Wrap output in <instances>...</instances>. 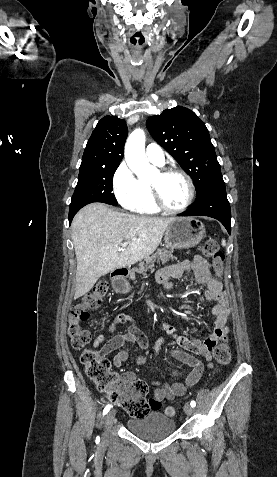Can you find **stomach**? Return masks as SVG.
<instances>
[{
  "mask_svg": "<svg viewBox=\"0 0 277 477\" xmlns=\"http://www.w3.org/2000/svg\"><path fill=\"white\" fill-rule=\"evenodd\" d=\"M205 234V226L200 220L196 218H175L165 231L164 242L167 248L189 249L198 245ZM113 286L122 293H127L131 288L124 279L115 280Z\"/></svg>",
  "mask_w": 277,
  "mask_h": 477,
  "instance_id": "1",
  "label": "stomach"
}]
</instances>
